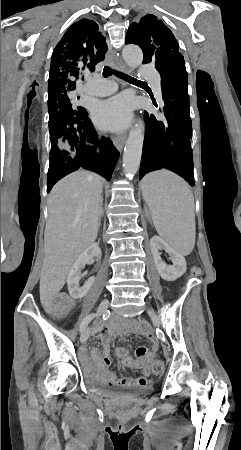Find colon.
<instances>
[{"instance_id": "obj_1", "label": "colon", "mask_w": 241, "mask_h": 450, "mask_svg": "<svg viewBox=\"0 0 241 450\" xmlns=\"http://www.w3.org/2000/svg\"><path fill=\"white\" fill-rule=\"evenodd\" d=\"M193 274H198L199 273V269L197 267H194L192 269ZM153 371L155 374H160L163 371V363L162 362H157L155 363L154 367H153Z\"/></svg>"}]
</instances>
